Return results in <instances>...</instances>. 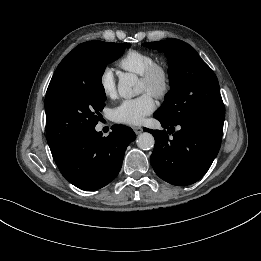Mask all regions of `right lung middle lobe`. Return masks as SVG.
<instances>
[{
    "label": "right lung middle lobe",
    "mask_w": 261,
    "mask_h": 261,
    "mask_svg": "<svg viewBox=\"0 0 261 261\" xmlns=\"http://www.w3.org/2000/svg\"><path fill=\"white\" fill-rule=\"evenodd\" d=\"M130 44L97 41L84 46L78 59L80 76L46 95V136L51 151L75 135L94 128L105 106L101 77Z\"/></svg>",
    "instance_id": "1"
}]
</instances>
